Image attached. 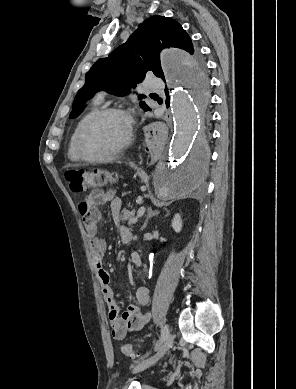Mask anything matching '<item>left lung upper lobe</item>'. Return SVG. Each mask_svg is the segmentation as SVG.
<instances>
[{"instance_id": "obj_1", "label": "left lung upper lobe", "mask_w": 296, "mask_h": 389, "mask_svg": "<svg viewBox=\"0 0 296 389\" xmlns=\"http://www.w3.org/2000/svg\"><path fill=\"white\" fill-rule=\"evenodd\" d=\"M162 47H177L187 51L191 55L192 82L206 88L205 63L189 35L176 20L155 15L139 24L125 43L109 57L99 59L86 73L85 84L75 97L70 118L77 117L83 111L85 102L96 92L106 90L123 96L130 88L142 82L148 71L165 81L159 58ZM140 106L145 111L150 110L144 102H140Z\"/></svg>"}]
</instances>
